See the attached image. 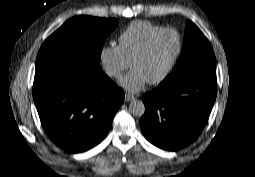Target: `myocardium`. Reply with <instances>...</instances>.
Instances as JSON below:
<instances>
[{
  "label": "myocardium",
  "mask_w": 255,
  "mask_h": 177,
  "mask_svg": "<svg viewBox=\"0 0 255 177\" xmlns=\"http://www.w3.org/2000/svg\"><path fill=\"white\" fill-rule=\"evenodd\" d=\"M166 32H172L175 34L176 38H177V50L175 52V54L173 55V57L171 58L170 62L168 63L167 67L165 68V70L155 79L153 80H148L149 84L155 85V84H159L161 82H163L172 72L175 64L177 63L178 59L180 58L182 51H183V40H182V36L181 34L172 27H167V28H163L157 32H155L154 34H152L147 41L145 42V44L142 46V48L137 52V54L133 57L130 66H132V64L137 61L138 59L143 58L149 51V49L151 48L152 44L154 43V41L162 34L166 33Z\"/></svg>",
  "instance_id": "myocardium-1"
}]
</instances>
